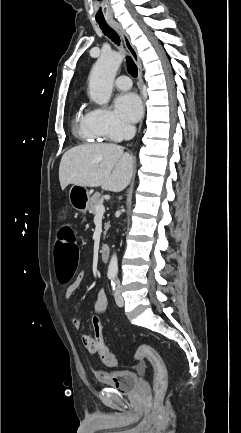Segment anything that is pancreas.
<instances>
[{"instance_id":"pancreas-1","label":"pancreas","mask_w":241,"mask_h":433,"mask_svg":"<svg viewBox=\"0 0 241 433\" xmlns=\"http://www.w3.org/2000/svg\"><path fill=\"white\" fill-rule=\"evenodd\" d=\"M102 202H103V200L101 199L100 194L95 193L91 197L90 202H89V207H88L89 213L95 215L96 214V206L102 204ZM109 227H110L109 223H106L104 225V229H105L104 235L106 234V231L109 229Z\"/></svg>"}]
</instances>
